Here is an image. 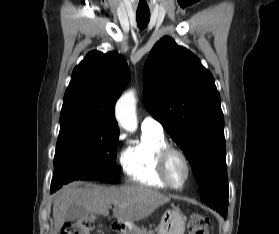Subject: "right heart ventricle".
<instances>
[{
    "label": "right heart ventricle",
    "mask_w": 279,
    "mask_h": 234,
    "mask_svg": "<svg viewBox=\"0 0 279 234\" xmlns=\"http://www.w3.org/2000/svg\"><path fill=\"white\" fill-rule=\"evenodd\" d=\"M166 145L163 133L142 131L140 140L130 145L121 156L126 176L143 186L166 188L157 167L158 154Z\"/></svg>",
    "instance_id": "right-heart-ventricle-1"
}]
</instances>
